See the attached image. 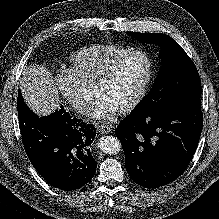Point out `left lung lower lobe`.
I'll return each mask as SVG.
<instances>
[{"mask_svg": "<svg viewBox=\"0 0 219 219\" xmlns=\"http://www.w3.org/2000/svg\"><path fill=\"white\" fill-rule=\"evenodd\" d=\"M203 125L201 101L179 103L153 114H130L117 127L130 178L146 188L177 179L196 151Z\"/></svg>", "mask_w": 219, "mask_h": 219, "instance_id": "1", "label": "left lung lower lobe"}]
</instances>
